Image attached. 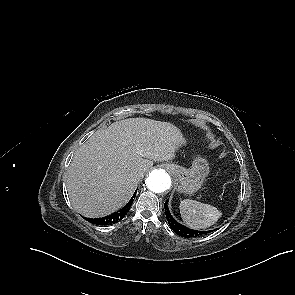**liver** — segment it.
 I'll use <instances>...</instances> for the list:
<instances>
[{"mask_svg":"<svg viewBox=\"0 0 295 295\" xmlns=\"http://www.w3.org/2000/svg\"><path fill=\"white\" fill-rule=\"evenodd\" d=\"M186 141L171 123L130 118L96 131L76 151L68 169L73 208L89 218L107 216L132 196L153 161L172 160Z\"/></svg>","mask_w":295,"mask_h":295,"instance_id":"1","label":"liver"}]
</instances>
